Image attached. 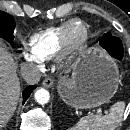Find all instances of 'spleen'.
Segmentation results:
<instances>
[{
    "label": "spleen",
    "instance_id": "3e777b00",
    "mask_svg": "<svg viewBox=\"0 0 130 130\" xmlns=\"http://www.w3.org/2000/svg\"><path fill=\"white\" fill-rule=\"evenodd\" d=\"M124 109L125 103L117 102L112 105L108 114L82 117L74 127L68 130H114L121 120Z\"/></svg>",
    "mask_w": 130,
    "mask_h": 130
}]
</instances>
